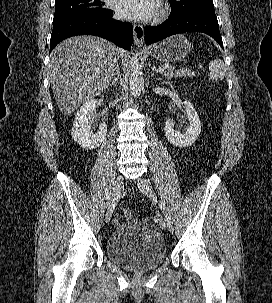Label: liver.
<instances>
[{
  "instance_id": "1",
  "label": "liver",
  "mask_w": 272,
  "mask_h": 303,
  "mask_svg": "<svg viewBox=\"0 0 272 303\" xmlns=\"http://www.w3.org/2000/svg\"><path fill=\"white\" fill-rule=\"evenodd\" d=\"M124 51L90 35L68 38L51 52L49 75L60 111L73 113L81 104L103 93Z\"/></svg>"
}]
</instances>
